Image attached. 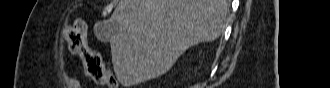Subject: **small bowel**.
Listing matches in <instances>:
<instances>
[{
    "mask_svg": "<svg viewBox=\"0 0 330 88\" xmlns=\"http://www.w3.org/2000/svg\"><path fill=\"white\" fill-rule=\"evenodd\" d=\"M80 24H81V26L83 28V33H84V31H85V25H84V23H80Z\"/></svg>",
    "mask_w": 330,
    "mask_h": 88,
    "instance_id": "obj_1",
    "label": "small bowel"
}]
</instances>
